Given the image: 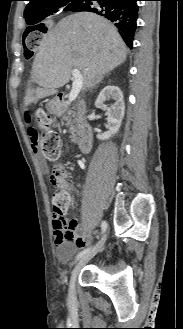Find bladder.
<instances>
[{
	"label": "bladder",
	"instance_id": "obj_1",
	"mask_svg": "<svg viewBox=\"0 0 183 329\" xmlns=\"http://www.w3.org/2000/svg\"><path fill=\"white\" fill-rule=\"evenodd\" d=\"M74 245L69 241H64L59 244L57 251L60 259L64 264H67L74 255Z\"/></svg>",
	"mask_w": 183,
	"mask_h": 329
}]
</instances>
